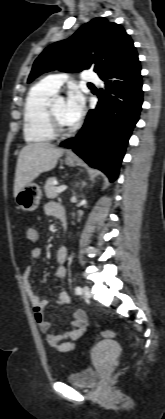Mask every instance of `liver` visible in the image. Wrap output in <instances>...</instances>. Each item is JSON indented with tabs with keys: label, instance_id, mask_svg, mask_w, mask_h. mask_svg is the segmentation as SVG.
Here are the masks:
<instances>
[{
	"label": "liver",
	"instance_id": "6515ba94",
	"mask_svg": "<svg viewBox=\"0 0 165 419\" xmlns=\"http://www.w3.org/2000/svg\"><path fill=\"white\" fill-rule=\"evenodd\" d=\"M64 149L46 142L28 144L19 153L14 182V196L41 173L54 169Z\"/></svg>",
	"mask_w": 165,
	"mask_h": 419
}]
</instances>
